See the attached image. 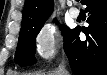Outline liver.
I'll return each mask as SVG.
<instances>
[{
	"label": "liver",
	"mask_w": 107,
	"mask_h": 75,
	"mask_svg": "<svg viewBox=\"0 0 107 75\" xmlns=\"http://www.w3.org/2000/svg\"><path fill=\"white\" fill-rule=\"evenodd\" d=\"M25 75H44V74L29 73V74H25ZM48 75H59V74L57 72H55V73H51V74H48Z\"/></svg>",
	"instance_id": "6515ba94"
}]
</instances>
